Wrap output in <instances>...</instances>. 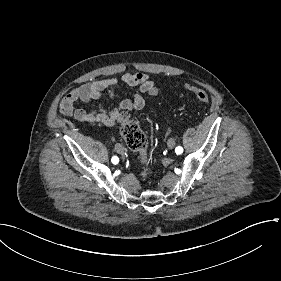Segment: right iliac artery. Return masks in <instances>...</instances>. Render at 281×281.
I'll return each instance as SVG.
<instances>
[{
    "label": "right iliac artery",
    "mask_w": 281,
    "mask_h": 281,
    "mask_svg": "<svg viewBox=\"0 0 281 281\" xmlns=\"http://www.w3.org/2000/svg\"><path fill=\"white\" fill-rule=\"evenodd\" d=\"M111 161H112V163L117 164L119 162V159H118V157L114 156V157H112Z\"/></svg>",
    "instance_id": "1"
}]
</instances>
